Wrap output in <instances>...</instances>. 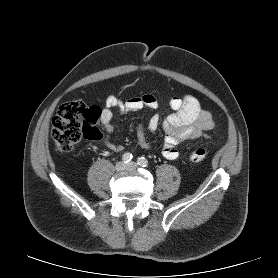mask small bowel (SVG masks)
Instances as JSON below:
<instances>
[{
    "label": "small bowel",
    "instance_id": "1",
    "mask_svg": "<svg viewBox=\"0 0 278 278\" xmlns=\"http://www.w3.org/2000/svg\"><path fill=\"white\" fill-rule=\"evenodd\" d=\"M158 106L156 97L152 94H143L122 101L116 96H109L103 110L101 111V122L104 126L107 147L114 152H121L124 147L110 141L109 134L113 130V111L117 109L121 113L136 112L144 108L155 109ZM171 113L163 122L165 132L162 155L166 159L174 160L179 157L177 145L185 140H193L205 137L207 132L214 128L212 114L202 108L199 100L192 95L183 97L174 96L169 100ZM161 124L158 114H154L147 126L148 132L156 131ZM138 144L143 149H149L146 132L143 128L137 131Z\"/></svg>",
    "mask_w": 278,
    "mask_h": 278
}]
</instances>
